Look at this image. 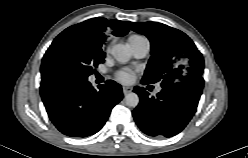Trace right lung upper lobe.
<instances>
[{
    "mask_svg": "<svg viewBox=\"0 0 248 158\" xmlns=\"http://www.w3.org/2000/svg\"><path fill=\"white\" fill-rule=\"evenodd\" d=\"M112 30L116 36H123L128 33L126 24L119 20H106L105 18H92L82 23L65 29L61 35L70 34L81 40L86 45L101 49L106 41V33ZM102 50V49H101ZM51 82L42 75L41 86Z\"/></svg>",
    "mask_w": 248,
    "mask_h": 158,
    "instance_id": "right-lung-upper-lobe-1",
    "label": "right lung upper lobe"
}]
</instances>
